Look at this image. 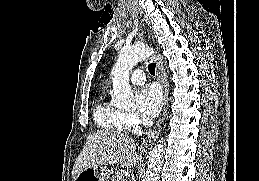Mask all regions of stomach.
Here are the masks:
<instances>
[{"label":"stomach","instance_id":"obj_1","mask_svg":"<svg viewBox=\"0 0 259 181\" xmlns=\"http://www.w3.org/2000/svg\"><path fill=\"white\" fill-rule=\"evenodd\" d=\"M110 172L105 166L93 165L80 172L74 181H109Z\"/></svg>","mask_w":259,"mask_h":181}]
</instances>
